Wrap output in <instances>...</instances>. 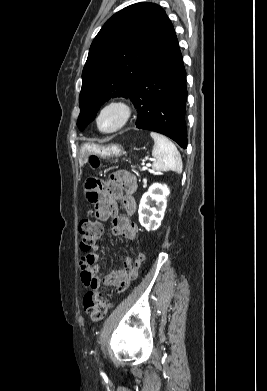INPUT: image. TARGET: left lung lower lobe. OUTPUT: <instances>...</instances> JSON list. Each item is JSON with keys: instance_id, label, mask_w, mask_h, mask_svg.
<instances>
[{"instance_id": "0a47b994", "label": "left lung lower lobe", "mask_w": 267, "mask_h": 391, "mask_svg": "<svg viewBox=\"0 0 267 391\" xmlns=\"http://www.w3.org/2000/svg\"><path fill=\"white\" fill-rule=\"evenodd\" d=\"M186 71L175 37L155 58L130 99L138 111L136 127L162 133L187 147Z\"/></svg>"}]
</instances>
